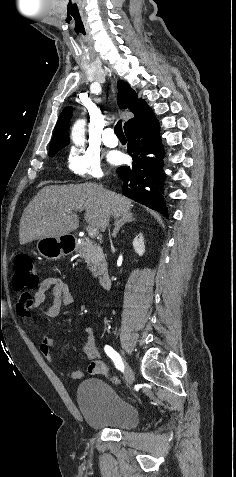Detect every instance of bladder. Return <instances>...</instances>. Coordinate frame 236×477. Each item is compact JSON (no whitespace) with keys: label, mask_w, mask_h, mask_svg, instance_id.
Masks as SVG:
<instances>
[{"label":"bladder","mask_w":236,"mask_h":477,"mask_svg":"<svg viewBox=\"0 0 236 477\" xmlns=\"http://www.w3.org/2000/svg\"><path fill=\"white\" fill-rule=\"evenodd\" d=\"M76 397L83 418L93 427L132 430L139 424L137 406L119 396L102 379L83 380L78 386Z\"/></svg>","instance_id":"1"}]
</instances>
